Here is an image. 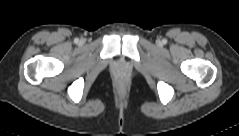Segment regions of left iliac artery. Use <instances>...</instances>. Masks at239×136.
<instances>
[{"label":"left iliac artery","instance_id":"44dca946","mask_svg":"<svg viewBox=\"0 0 239 136\" xmlns=\"http://www.w3.org/2000/svg\"><path fill=\"white\" fill-rule=\"evenodd\" d=\"M162 42H163V44H166V43H167V40H166V39H163Z\"/></svg>","mask_w":239,"mask_h":136}]
</instances>
